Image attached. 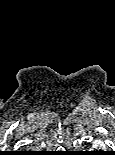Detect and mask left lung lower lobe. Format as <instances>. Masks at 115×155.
Here are the masks:
<instances>
[{"label":"left lung lower lobe","instance_id":"left-lung-lower-lobe-1","mask_svg":"<svg viewBox=\"0 0 115 155\" xmlns=\"http://www.w3.org/2000/svg\"><path fill=\"white\" fill-rule=\"evenodd\" d=\"M95 155H115V154H110V153H108V152H106V151H99L97 154H95Z\"/></svg>","mask_w":115,"mask_h":155}]
</instances>
